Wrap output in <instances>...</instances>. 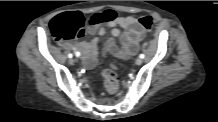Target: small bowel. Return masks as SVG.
I'll use <instances>...</instances> for the list:
<instances>
[{"mask_svg":"<svg viewBox=\"0 0 218 122\" xmlns=\"http://www.w3.org/2000/svg\"><path fill=\"white\" fill-rule=\"evenodd\" d=\"M102 26L110 27L113 36L105 43L102 53H111L119 59H128L134 55L145 35V29L137 18L133 16L121 17L117 15L116 8H109L107 11L89 15L87 28L89 35L103 36L105 29ZM115 37H119V45L116 43ZM69 48L81 56L83 64L88 68L96 65L101 53L97 37L91 41L72 42L69 44Z\"/></svg>","mask_w":218,"mask_h":122,"instance_id":"1","label":"small bowel"}]
</instances>
